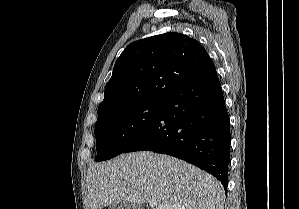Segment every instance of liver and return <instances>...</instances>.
<instances>
[{
	"label": "liver",
	"mask_w": 299,
	"mask_h": 209,
	"mask_svg": "<svg viewBox=\"0 0 299 209\" xmlns=\"http://www.w3.org/2000/svg\"><path fill=\"white\" fill-rule=\"evenodd\" d=\"M88 209L154 200L171 209H223L224 189L212 175L177 158L149 151L92 164L87 171Z\"/></svg>",
	"instance_id": "obj_1"
}]
</instances>
